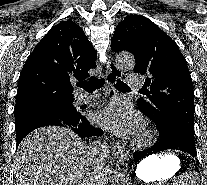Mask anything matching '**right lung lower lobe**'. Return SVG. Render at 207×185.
Masks as SVG:
<instances>
[{"label": "right lung lower lobe", "mask_w": 207, "mask_h": 185, "mask_svg": "<svg viewBox=\"0 0 207 185\" xmlns=\"http://www.w3.org/2000/svg\"><path fill=\"white\" fill-rule=\"evenodd\" d=\"M83 117L84 119H82L79 122H75V123H62V122H57L52 119H45L42 121L28 123L23 126H20L16 128V141H17L16 147H18L22 139L27 134L43 126L56 125V126L67 127L73 130L75 133H77L82 138L89 137V136H101L103 134V131L101 129L95 128L88 122L87 118L84 115Z\"/></svg>", "instance_id": "right-lung-lower-lobe-1"}]
</instances>
